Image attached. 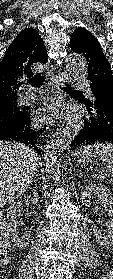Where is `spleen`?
Masks as SVG:
<instances>
[{
	"instance_id": "spleen-1",
	"label": "spleen",
	"mask_w": 113,
	"mask_h": 279,
	"mask_svg": "<svg viewBox=\"0 0 113 279\" xmlns=\"http://www.w3.org/2000/svg\"><path fill=\"white\" fill-rule=\"evenodd\" d=\"M84 152H94L98 154L104 162L107 170L113 176V144L112 143H96L83 147Z\"/></svg>"
}]
</instances>
